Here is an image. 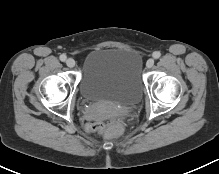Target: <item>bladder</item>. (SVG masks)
Returning a JSON list of instances; mask_svg holds the SVG:
<instances>
[{
	"mask_svg": "<svg viewBox=\"0 0 219 174\" xmlns=\"http://www.w3.org/2000/svg\"><path fill=\"white\" fill-rule=\"evenodd\" d=\"M140 55L130 48H98L87 53L78 83L87 102L136 105L143 93Z\"/></svg>",
	"mask_w": 219,
	"mask_h": 174,
	"instance_id": "31cf9c89",
	"label": "bladder"
}]
</instances>
